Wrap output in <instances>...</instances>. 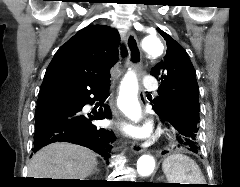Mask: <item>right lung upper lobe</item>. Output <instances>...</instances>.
I'll return each instance as SVG.
<instances>
[{
  "mask_svg": "<svg viewBox=\"0 0 240 187\" xmlns=\"http://www.w3.org/2000/svg\"><path fill=\"white\" fill-rule=\"evenodd\" d=\"M119 34L103 25H89L63 44L51 60L37 105L74 99L109 83L118 60Z\"/></svg>",
  "mask_w": 240,
  "mask_h": 187,
  "instance_id": "obj_1",
  "label": "right lung upper lobe"
}]
</instances>
